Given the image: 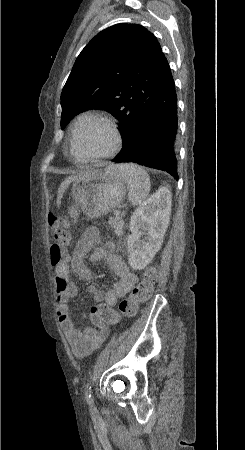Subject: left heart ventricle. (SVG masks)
I'll return each mask as SVG.
<instances>
[{
  "label": "left heart ventricle",
  "mask_w": 245,
  "mask_h": 450,
  "mask_svg": "<svg viewBox=\"0 0 245 450\" xmlns=\"http://www.w3.org/2000/svg\"><path fill=\"white\" fill-rule=\"evenodd\" d=\"M113 142V133L106 125H86L78 134L76 150L84 156L102 155L110 151Z\"/></svg>",
  "instance_id": "left-heart-ventricle-1"
}]
</instances>
